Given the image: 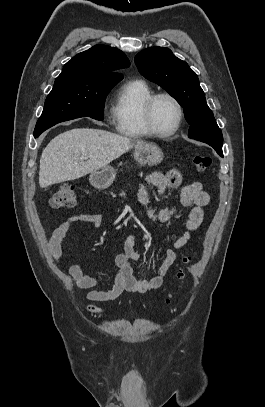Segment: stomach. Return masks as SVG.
Masks as SVG:
<instances>
[{
  "label": "stomach",
  "mask_w": 265,
  "mask_h": 407,
  "mask_svg": "<svg viewBox=\"0 0 265 407\" xmlns=\"http://www.w3.org/2000/svg\"><path fill=\"white\" fill-rule=\"evenodd\" d=\"M164 158L162 150L155 144L143 143L134 147V159L140 165H157ZM116 170L112 166H105L91 172L90 183L97 189L108 188L114 181Z\"/></svg>",
  "instance_id": "stomach-1"
}]
</instances>
